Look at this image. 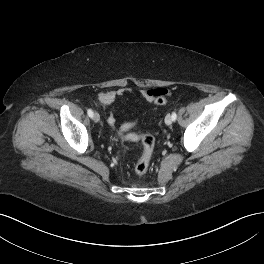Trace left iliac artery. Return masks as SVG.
Segmentation results:
<instances>
[{
    "instance_id": "obj_1",
    "label": "left iliac artery",
    "mask_w": 264,
    "mask_h": 264,
    "mask_svg": "<svg viewBox=\"0 0 264 264\" xmlns=\"http://www.w3.org/2000/svg\"><path fill=\"white\" fill-rule=\"evenodd\" d=\"M176 118H177V114H176V112H173V113H172V120L175 121Z\"/></svg>"
}]
</instances>
